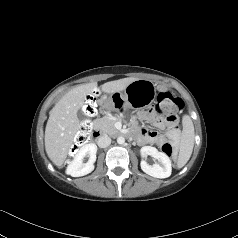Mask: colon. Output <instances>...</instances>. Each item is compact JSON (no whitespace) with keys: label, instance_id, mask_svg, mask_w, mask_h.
I'll return each mask as SVG.
<instances>
[{"label":"colon","instance_id":"obj_1","mask_svg":"<svg viewBox=\"0 0 238 238\" xmlns=\"http://www.w3.org/2000/svg\"><path fill=\"white\" fill-rule=\"evenodd\" d=\"M184 103L181 98L175 96L170 91L160 92L157 96V101L154 106V112L159 116H163L169 123H176L177 115L182 110ZM96 112V103L94 98L87 100L84 106V113L86 116H93ZM91 134V122L86 120L82 124L81 130L75 138L74 150L76 151L81 146L86 144ZM163 153L169 157L173 156L174 146L166 142L161 146Z\"/></svg>","mask_w":238,"mask_h":238}]
</instances>
